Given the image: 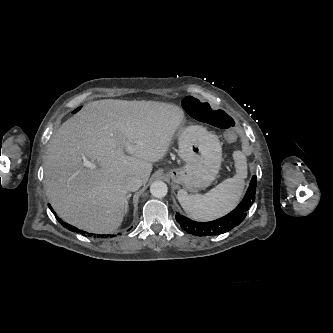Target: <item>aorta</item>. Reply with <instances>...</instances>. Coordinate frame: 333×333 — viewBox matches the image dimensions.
<instances>
[{
    "label": "aorta",
    "instance_id": "762f6f07",
    "mask_svg": "<svg viewBox=\"0 0 333 333\" xmlns=\"http://www.w3.org/2000/svg\"><path fill=\"white\" fill-rule=\"evenodd\" d=\"M150 193L156 198H162L167 195L168 187L163 181H155L150 186Z\"/></svg>",
    "mask_w": 333,
    "mask_h": 333
}]
</instances>
